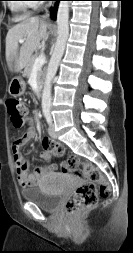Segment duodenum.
<instances>
[{"label":"duodenum","mask_w":133,"mask_h":253,"mask_svg":"<svg viewBox=\"0 0 133 253\" xmlns=\"http://www.w3.org/2000/svg\"><path fill=\"white\" fill-rule=\"evenodd\" d=\"M42 87H43V83L42 82H39V84H38V94H42Z\"/></svg>","instance_id":"duodenum-1"}]
</instances>
